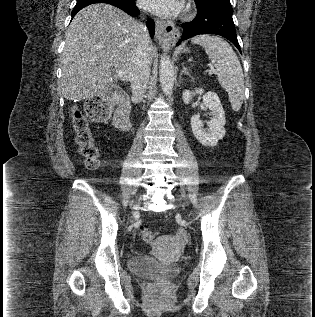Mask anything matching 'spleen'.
Returning a JSON list of instances; mask_svg holds the SVG:
<instances>
[{"instance_id":"obj_1","label":"spleen","mask_w":315,"mask_h":317,"mask_svg":"<svg viewBox=\"0 0 315 317\" xmlns=\"http://www.w3.org/2000/svg\"><path fill=\"white\" fill-rule=\"evenodd\" d=\"M205 49L218 71V81L227 91L233 111L240 110L244 99V75L240 61L227 41L221 37L202 34L191 39Z\"/></svg>"}]
</instances>
